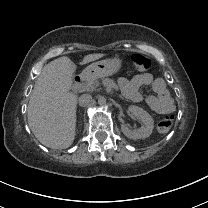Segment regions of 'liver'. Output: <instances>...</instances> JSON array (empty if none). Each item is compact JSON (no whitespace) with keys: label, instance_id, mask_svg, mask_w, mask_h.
<instances>
[{"label":"liver","instance_id":"liver-1","mask_svg":"<svg viewBox=\"0 0 208 208\" xmlns=\"http://www.w3.org/2000/svg\"><path fill=\"white\" fill-rule=\"evenodd\" d=\"M104 54H89L82 64ZM76 65L63 56L46 64L30 95L28 124L35 137L52 149L68 148L75 138L77 96L69 90Z\"/></svg>","mask_w":208,"mask_h":208}]
</instances>
